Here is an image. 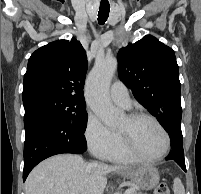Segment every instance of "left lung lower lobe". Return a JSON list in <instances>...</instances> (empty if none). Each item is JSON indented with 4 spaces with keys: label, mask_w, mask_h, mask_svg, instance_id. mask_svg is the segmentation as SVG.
Returning a JSON list of instances; mask_svg holds the SVG:
<instances>
[{
    "label": "left lung lower lobe",
    "mask_w": 201,
    "mask_h": 194,
    "mask_svg": "<svg viewBox=\"0 0 201 194\" xmlns=\"http://www.w3.org/2000/svg\"><path fill=\"white\" fill-rule=\"evenodd\" d=\"M166 131L170 136L172 148L166 159L174 160L186 172L181 125L172 124Z\"/></svg>",
    "instance_id": "left-lung-lower-lobe-1"
}]
</instances>
